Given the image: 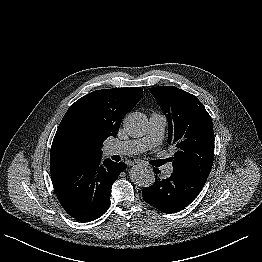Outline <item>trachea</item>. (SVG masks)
<instances>
[{
  "label": "trachea",
  "mask_w": 262,
  "mask_h": 262,
  "mask_svg": "<svg viewBox=\"0 0 262 262\" xmlns=\"http://www.w3.org/2000/svg\"><path fill=\"white\" fill-rule=\"evenodd\" d=\"M166 162H168V159H166V160H161V161H160V164L162 165V164H164V163H166Z\"/></svg>",
  "instance_id": "1"
}]
</instances>
